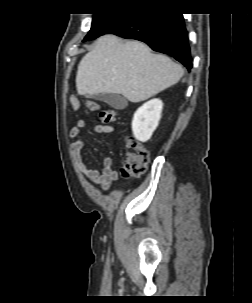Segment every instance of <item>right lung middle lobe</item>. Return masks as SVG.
I'll list each match as a JSON object with an SVG mask.
<instances>
[{
    "mask_svg": "<svg viewBox=\"0 0 252 303\" xmlns=\"http://www.w3.org/2000/svg\"><path fill=\"white\" fill-rule=\"evenodd\" d=\"M122 13L94 14L92 26L83 41L93 40L104 33Z\"/></svg>",
    "mask_w": 252,
    "mask_h": 303,
    "instance_id": "dd1d6c3e",
    "label": "right lung middle lobe"
}]
</instances>
